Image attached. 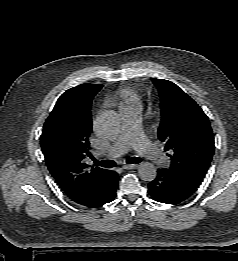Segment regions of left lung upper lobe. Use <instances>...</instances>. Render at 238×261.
<instances>
[{"label": "left lung upper lobe", "mask_w": 238, "mask_h": 261, "mask_svg": "<svg viewBox=\"0 0 238 261\" xmlns=\"http://www.w3.org/2000/svg\"><path fill=\"white\" fill-rule=\"evenodd\" d=\"M158 88L162 119L158 138L170 151L169 170L177 177L199 186L210 166L215 146L209 119L199 105L176 84L153 79Z\"/></svg>", "instance_id": "left-lung-upper-lobe-1"}]
</instances>
